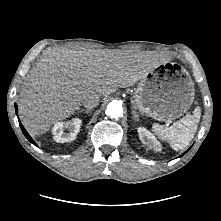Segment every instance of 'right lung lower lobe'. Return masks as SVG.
I'll list each match as a JSON object with an SVG mask.
<instances>
[{"instance_id": "98d812e1", "label": "right lung lower lobe", "mask_w": 221, "mask_h": 221, "mask_svg": "<svg viewBox=\"0 0 221 221\" xmlns=\"http://www.w3.org/2000/svg\"><path fill=\"white\" fill-rule=\"evenodd\" d=\"M15 110H16V113L18 112V108H17V104H15ZM20 124V127H21V130L23 132V134L25 135V137L31 142L33 143L34 145H36V143L34 142V140L31 138V136L27 133V131L25 130V128L22 126V124L19 122Z\"/></svg>"}]
</instances>
